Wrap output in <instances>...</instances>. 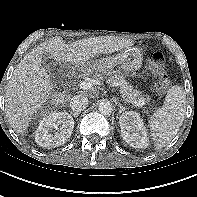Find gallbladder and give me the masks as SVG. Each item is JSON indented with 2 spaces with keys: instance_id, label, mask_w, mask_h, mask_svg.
<instances>
[{
  "instance_id": "bac80fb5",
  "label": "gallbladder",
  "mask_w": 197,
  "mask_h": 197,
  "mask_svg": "<svg viewBox=\"0 0 197 197\" xmlns=\"http://www.w3.org/2000/svg\"><path fill=\"white\" fill-rule=\"evenodd\" d=\"M42 63L47 72H51L56 69L57 61H53L48 54H44L42 57Z\"/></svg>"
}]
</instances>
